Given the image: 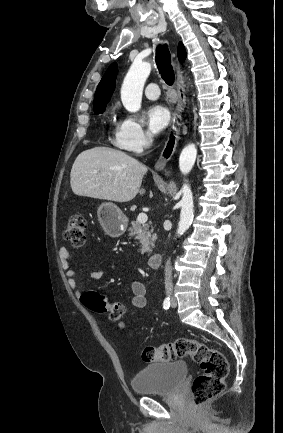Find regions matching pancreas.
Wrapping results in <instances>:
<instances>
[{"label":"pancreas","mask_w":283,"mask_h":433,"mask_svg":"<svg viewBox=\"0 0 283 433\" xmlns=\"http://www.w3.org/2000/svg\"><path fill=\"white\" fill-rule=\"evenodd\" d=\"M129 235L131 237H134L136 235V239H138L139 243H142V249H138L140 251L141 255H151L152 249L151 247H154L155 241L157 239L155 233L152 235L154 229L153 227H150V225H144L142 227V223H138V221H132V227H129Z\"/></svg>","instance_id":"pancreas-1"}]
</instances>
